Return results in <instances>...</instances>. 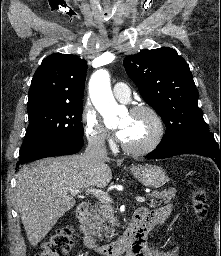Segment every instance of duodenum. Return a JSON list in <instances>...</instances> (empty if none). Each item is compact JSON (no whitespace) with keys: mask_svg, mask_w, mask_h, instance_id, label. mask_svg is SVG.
I'll return each mask as SVG.
<instances>
[{"mask_svg":"<svg viewBox=\"0 0 221 256\" xmlns=\"http://www.w3.org/2000/svg\"><path fill=\"white\" fill-rule=\"evenodd\" d=\"M88 214L89 204L87 202L80 203L76 210L78 230L85 247L102 256H120L129 250L142 235L145 214L138 209L134 212L127 229L118 240L99 244L89 230Z\"/></svg>","mask_w":221,"mask_h":256,"instance_id":"1","label":"duodenum"}]
</instances>
